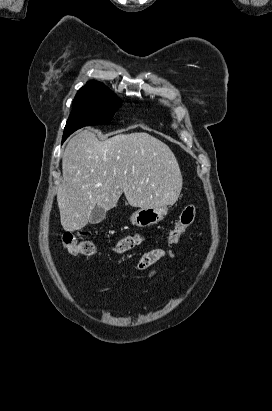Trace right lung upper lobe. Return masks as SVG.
I'll list each match as a JSON object with an SVG mask.
<instances>
[{
  "mask_svg": "<svg viewBox=\"0 0 272 411\" xmlns=\"http://www.w3.org/2000/svg\"><path fill=\"white\" fill-rule=\"evenodd\" d=\"M108 89L105 85H103L100 82L96 81H89L84 87H82L77 94L83 93V92H91V91H100Z\"/></svg>",
  "mask_w": 272,
  "mask_h": 411,
  "instance_id": "cb5924a9",
  "label": "right lung upper lobe"
}]
</instances>
